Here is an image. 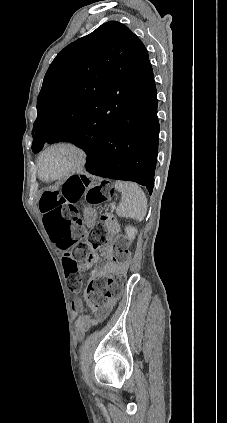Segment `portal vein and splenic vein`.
Listing matches in <instances>:
<instances>
[{"label":"portal vein and splenic vein","mask_w":227,"mask_h":423,"mask_svg":"<svg viewBox=\"0 0 227 423\" xmlns=\"http://www.w3.org/2000/svg\"><path fill=\"white\" fill-rule=\"evenodd\" d=\"M112 209H115V206H112Z\"/></svg>","instance_id":"1"}]
</instances>
